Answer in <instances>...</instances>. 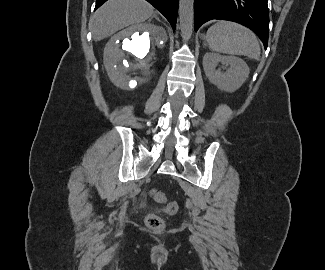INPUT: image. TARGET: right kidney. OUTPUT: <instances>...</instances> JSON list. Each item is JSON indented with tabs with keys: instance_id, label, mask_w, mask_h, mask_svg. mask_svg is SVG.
<instances>
[{
	"instance_id": "ca27d5eb",
	"label": "right kidney",
	"mask_w": 325,
	"mask_h": 270,
	"mask_svg": "<svg viewBox=\"0 0 325 270\" xmlns=\"http://www.w3.org/2000/svg\"><path fill=\"white\" fill-rule=\"evenodd\" d=\"M166 40L162 27L146 23L132 25L111 37L103 60L112 83L128 90L148 82L155 72L156 48H163Z\"/></svg>"
}]
</instances>
